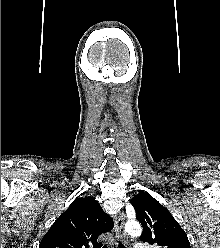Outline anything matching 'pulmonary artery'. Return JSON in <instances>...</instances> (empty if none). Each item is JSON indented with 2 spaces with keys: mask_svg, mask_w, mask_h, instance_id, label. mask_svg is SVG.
Returning <instances> with one entry per match:
<instances>
[{
  "mask_svg": "<svg viewBox=\"0 0 220 248\" xmlns=\"http://www.w3.org/2000/svg\"><path fill=\"white\" fill-rule=\"evenodd\" d=\"M133 248H147L146 245L142 243L135 244Z\"/></svg>",
  "mask_w": 220,
  "mask_h": 248,
  "instance_id": "pulmonary-artery-1",
  "label": "pulmonary artery"
}]
</instances>
